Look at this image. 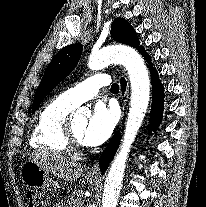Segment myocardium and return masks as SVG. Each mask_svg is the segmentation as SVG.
Segmentation results:
<instances>
[{"label":"myocardium","instance_id":"myocardium-1","mask_svg":"<svg viewBox=\"0 0 206 207\" xmlns=\"http://www.w3.org/2000/svg\"><path fill=\"white\" fill-rule=\"evenodd\" d=\"M63 139L69 150L76 151L84 147L83 142L75 135L70 121H67L64 126Z\"/></svg>","mask_w":206,"mask_h":207}]
</instances>
